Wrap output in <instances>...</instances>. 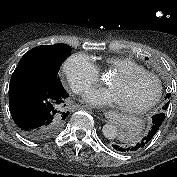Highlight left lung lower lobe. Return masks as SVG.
<instances>
[{"mask_svg": "<svg viewBox=\"0 0 177 177\" xmlns=\"http://www.w3.org/2000/svg\"><path fill=\"white\" fill-rule=\"evenodd\" d=\"M165 118V114L163 112L154 115L152 117V125H151V129L148 133L147 136H145L141 141H139L136 144L133 145H123L117 142L113 143V148L119 152H134L137 151L141 148H143L145 145H147L152 138L154 137V135L158 132L162 122L164 121Z\"/></svg>", "mask_w": 177, "mask_h": 177, "instance_id": "0a47b994", "label": "left lung lower lobe"}]
</instances>
